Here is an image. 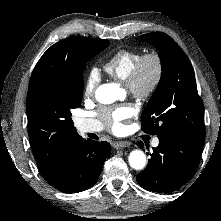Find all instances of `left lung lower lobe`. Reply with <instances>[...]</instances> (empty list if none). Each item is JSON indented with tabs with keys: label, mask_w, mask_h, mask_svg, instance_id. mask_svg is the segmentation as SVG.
<instances>
[{
	"label": "left lung lower lobe",
	"mask_w": 221,
	"mask_h": 221,
	"mask_svg": "<svg viewBox=\"0 0 221 221\" xmlns=\"http://www.w3.org/2000/svg\"><path fill=\"white\" fill-rule=\"evenodd\" d=\"M205 142V136L167 135L159 137V146L147 167L136 176L138 184L158 193H171L195 174ZM138 145L142 148L141 141Z\"/></svg>",
	"instance_id": "left-lung-lower-lobe-1"
}]
</instances>
